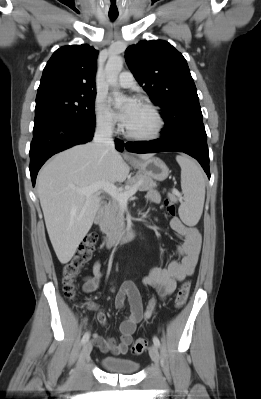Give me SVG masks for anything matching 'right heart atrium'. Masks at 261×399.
<instances>
[{"instance_id":"right-heart-atrium-1","label":"right heart atrium","mask_w":261,"mask_h":399,"mask_svg":"<svg viewBox=\"0 0 261 399\" xmlns=\"http://www.w3.org/2000/svg\"><path fill=\"white\" fill-rule=\"evenodd\" d=\"M96 126L99 131L105 134H112L116 130V121L114 115L106 106L103 100L96 102Z\"/></svg>"}]
</instances>
